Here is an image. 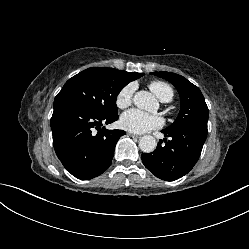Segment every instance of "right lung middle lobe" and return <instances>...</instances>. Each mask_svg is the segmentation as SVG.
I'll return each instance as SVG.
<instances>
[{
	"mask_svg": "<svg viewBox=\"0 0 249 249\" xmlns=\"http://www.w3.org/2000/svg\"><path fill=\"white\" fill-rule=\"evenodd\" d=\"M129 83L120 70L92 67L70 78L55 99H68L100 116L118 114L116 99Z\"/></svg>",
	"mask_w": 249,
	"mask_h": 249,
	"instance_id": "obj_1",
	"label": "right lung middle lobe"
}]
</instances>
